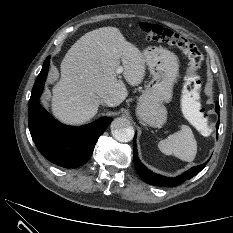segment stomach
Segmentation results:
<instances>
[{
	"label": "stomach",
	"instance_id": "0dacf381",
	"mask_svg": "<svg viewBox=\"0 0 233 233\" xmlns=\"http://www.w3.org/2000/svg\"><path fill=\"white\" fill-rule=\"evenodd\" d=\"M143 56L152 78L138 99L136 115L143 124L160 127L167 120L164 103L172 99L179 72L178 59L169 50L156 46L147 47Z\"/></svg>",
	"mask_w": 233,
	"mask_h": 233
}]
</instances>
